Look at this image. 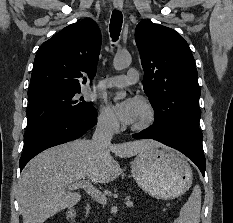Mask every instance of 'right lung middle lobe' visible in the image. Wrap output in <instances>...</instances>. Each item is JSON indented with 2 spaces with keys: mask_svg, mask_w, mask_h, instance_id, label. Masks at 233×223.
<instances>
[{
  "mask_svg": "<svg viewBox=\"0 0 233 223\" xmlns=\"http://www.w3.org/2000/svg\"><path fill=\"white\" fill-rule=\"evenodd\" d=\"M80 87H56L39 91L29 96L26 135L52 122L93 107L78 94Z\"/></svg>",
  "mask_w": 233,
  "mask_h": 223,
  "instance_id": "obj_1",
  "label": "right lung middle lobe"
}]
</instances>
